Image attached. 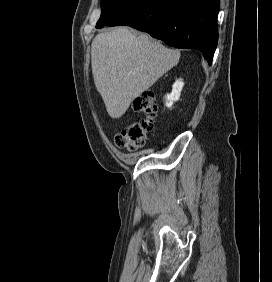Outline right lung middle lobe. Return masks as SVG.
Instances as JSON below:
<instances>
[{
	"label": "right lung middle lobe",
	"instance_id": "right-lung-middle-lobe-1",
	"mask_svg": "<svg viewBox=\"0 0 272 282\" xmlns=\"http://www.w3.org/2000/svg\"><path fill=\"white\" fill-rule=\"evenodd\" d=\"M136 0H102V13L97 22L96 28L104 27L108 22L118 16Z\"/></svg>",
	"mask_w": 272,
	"mask_h": 282
}]
</instances>
